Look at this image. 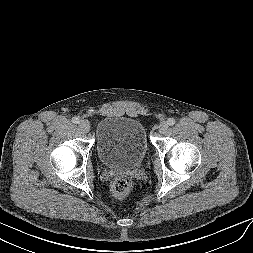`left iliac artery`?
<instances>
[{"label": "left iliac artery", "instance_id": "left-iliac-artery-1", "mask_svg": "<svg viewBox=\"0 0 253 253\" xmlns=\"http://www.w3.org/2000/svg\"><path fill=\"white\" fill-rule=\"evenodd\" d=\"M167 123H168L169 125H174V124H175V119H174V118H169V119L167 120Z\"/></svg>", "mask_w": 253, "mask_h": 253}]
</instances>
